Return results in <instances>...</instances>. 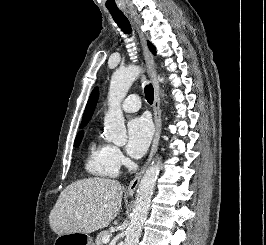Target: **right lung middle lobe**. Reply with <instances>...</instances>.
Instances as JSON below:
<instances>
[{
	"label": "right lung middle lobe",
	"mask_w": 266,
	"mask_h": 245,
	"mask_svg": "<svg viewBox=\"0 0 266 245\" xmlns=\"http://www.w3.org/2000/svg\"><path fill=\"white\" fill-rule=\"evenodd\" d=\"M85 125H81L80 128H83ZM83 135H84V131H80L77 136H76V139H75V142H74V147H78L82 141V138H83Z\"/></svg>",
	"instance_id": "1"
}]
</instances>
